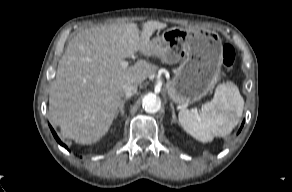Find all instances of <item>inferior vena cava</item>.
I'll list each match as a JSON object with an SVG mask.
<instances>
[{
    "instance_id": "602c4592",
    "label": "inferior vena cava",
    "mask_w": 292,
    "mask_h": 192,
    "mask_svg": "<svg viewBox=\"0 0 292 192\" xmlns=\"http://www.w3.org/2000/svg\"><path fill=\"white\" fill-rule=\"evenodd\" d=\"M137 85L133 84V83H126L123 86V90H124V95L129 98L131 96H133L134 94L137 93Z\"/></svg>"
}]
</instances>
